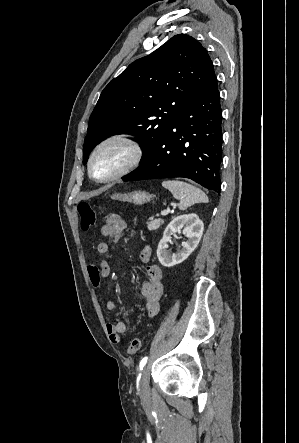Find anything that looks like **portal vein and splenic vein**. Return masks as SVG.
I'll use <instances>...</instances> for the list:
<instances>
[{"instance_id": "portal-vein-and-splenic-vein-1", "label": "portal vein and splenic vein", "mask_w": 299, "mask_h": 443, "mask_svg": "<svg viewBox=\"0 0 299 443\" xmlns=\"http://www.w3.org/2000/svg\"><path fill=\"white\" fill-rule=\"evenodd\" d=\"M168 214V211L167 210H163L162 212H161V215L162 216H166Z\"/></svg>"}]
</instances>
